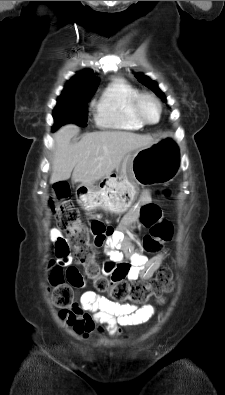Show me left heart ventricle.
<instances>
[{
  "label": "left heart ventricle",
  "instance_id": "b2bd125f",
  "mask_svg": "<svg viewBox=\"0 0 225 395\" xmlns=\"http://www.w3.org/2000/svg\"><path fill=\"white\" fill-rule=\"evenodd\" d=\"M142 112L146 119L155 121L158 116V111L155 104L150 100H145L142 104Z\"/></svg>",
  "mask_w": 225,
  "mask_h": 395
}]
</instances>
